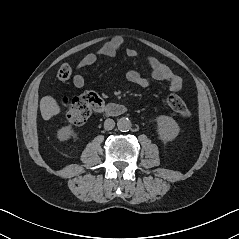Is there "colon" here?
I'll use <instances>...</instances> for the list:
<instances>
[{
	"mask_svg": "<svg viewBox=\"0 0 239 239\" xmlns=\"http://www.w3.org/2000/svg\"><path fill=\"white\" fill-rule=\"evenodd\" d=\"M72 68L68 64H63L57 72V77L60 80H67L72 76ZM66 108V118L71 125L84 124L92 113L102 110V99L94 92H87L71 98H64L62 100ZM167 103L180 117L188 118L190 112L182 99L171 94L167 98Z\"/></svg>",
	"mask_w": 239,
	"mask_h": 239,
	"instance_id": "colon-1",
	"label": "colon"
}]
</instances>
